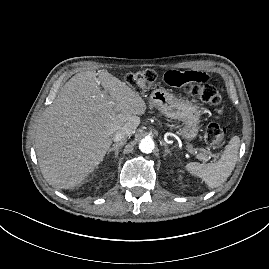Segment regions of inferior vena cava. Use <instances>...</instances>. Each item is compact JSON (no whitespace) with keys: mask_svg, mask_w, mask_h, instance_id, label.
I'll use <instances>...</instances> for the list:
<instances>
[{"mask_svg":"<svg viewBox=\"0 0 269 269\" xmlns=\"http://www.w3.org/2000/svg\"><path fill=\"white\" fill-rule=\"evenodd\" d=\"M129 133L123 130H119L115 133L113 140L117 143H126Z\"/></svg>","mask_w":269,"mask_h":269,"instance_id":"602c4592","label":"inferior vena cava"}]
</instances>
